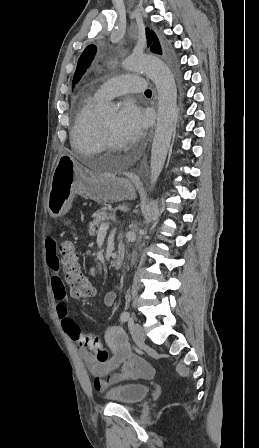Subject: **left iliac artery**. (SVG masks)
<instances>
[{
    "instance_id": "1",
    "label": "left iliac artery",
    "mask_w": 259,
    "mask_h": 448,
    "mask_svg": "<svg viewBox=\"0 0 259 448\" xmlns=\"http://www.w3.org/2000/svg\"><path fill=\"white\" fill-rule=\"evenodd\" d=\"M120 320L122 322H126L128 321L130 325L133 324V319L130 317V313L128 311H124L121 316H120Z\"/></svg>"
}]
</instances>
